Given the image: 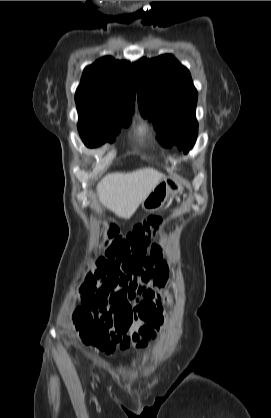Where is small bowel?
Returning <instances> with one entry per match:
<instances>
[{
  "label": "small bowel",
  "instance_id": "obj_1",
  "mask_svg": "<svg viewBox=\"0 0 271 418\" xmlns=\"http://www.w3.org/2000/svg\"><path fill=\"white\" fill-rule=\"evenodd\" d=\"M167 245L160 237L148 256L131 262L102 258L81 287L82 309L98 314V323L110 330L109 341L100 348L106 354L126 349L130 343L145 347L163 324L164 288L169 282V264L163 261Z\"/></svg>",
  "mask_w": 271,
  "mask_h": 418
}]
</instances>
